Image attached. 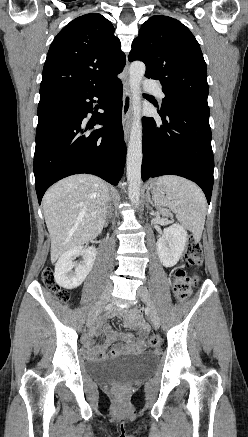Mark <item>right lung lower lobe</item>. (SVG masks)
I'll return each instance as SVG.
<instances>
[{
	"mask_svg": "<svg viewBox=\"0 0 248 437\" xmlns=\"http://www.w3.org/2000/svg\"><path fill=\"white\" fill-rule=\"evenodd\" d=\"M122 91L116 77L99 88L40 94L34 155L39 204L53 183L73 174H94L113 185L119 182L126 158ZM94 97L105 98L104 113L86 122ZM96 124L104 127L90 132Z\"/></svg>",
	"mask_w": 248,
	"mask_h": 437,
	"instance_id": "obj_1",
	"label": "right lung lower lobe"
}]
</instances>
